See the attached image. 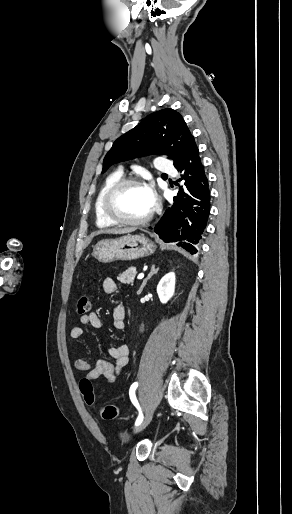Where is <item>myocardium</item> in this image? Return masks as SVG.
<instances>
[{
    "label": "myocardium",
    "instance_id": "myocardium-1",
    "mask_svg": "<svg viewBox=\"0 0 292 514\" xmlns=\"http://www.w3.org/2000/svg\"><path fill=\"white\" fill-rule=\"evenodd\" d=\"M138 186L142 187L139 180L133 177L121 178L118 181L111 184L103 193L101 198V210L104 216L112 223L128 226H138L146 223L153 214V208L143 217L138 219H125L117 215L111 207V199L113 195L125 187Z\"/></svg>",
    "mask_w": 292,
    "mask_h": 514
}]
</instances>
